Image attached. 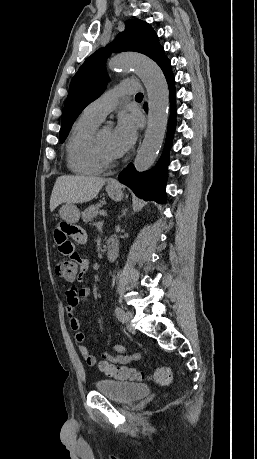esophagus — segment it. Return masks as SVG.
<instances>
[{
    "mask_svg": "<svg viewBox=\"0 0 257 459\" xmlns=\"http://www.w3.org/2000/svg\"><path fill=\"white\" fill-rule=\"evenodd\" d=\"M111 184L115 185V184H116V182H115V181H112V182H111Z\"/></svg>",
    "mask_w": 257,
    "mask_h": 459,
    "instance_id": "obj_1",
    "label": "esophagus"
}]
</instances>
